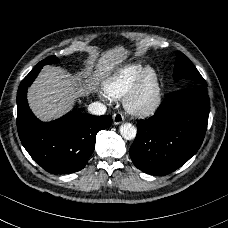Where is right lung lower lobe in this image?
<instances>
[{
	"label": "right lung lower lobe",
	"mask_w": 228,
	"mask_h": 228,
	"mask_svg": "<svg viewBox=\"0 0 228 228\" xmlns=\"http://www.w3.org/2000/svg\"><path fill=\"white\" fill-rule=\"evenodd\" d=\"M41 68L34 67L18 88L17 129L20 140L30 156L46 171L53 174L77 172L90 158L96 134L109 127L112 116H91L72 111L55 121H39L29 109L26 93Z\"/></svg>",
	"instance_id": "obj_1"
}]
</instances>
